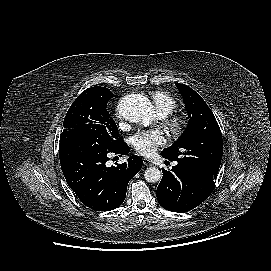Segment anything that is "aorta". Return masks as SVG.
Returning a JSON list of instances; mask_svg holds the SVG:
<instances>
[{"instance_id":"762f6f07","label":"aorta","mask_w":271,"mask_h":271,"mask_svg":"<svg viewBox=\"0 0 271 271\" xmlns=\"http://www.w3.org/2000/svg\"><path fill=\"white\" fill-rule=\"evenodd\" d=\"M122 114L126 120L146 126L153 118L152 105L146 96L132 94L124 99ZM144 177L147 182L155 183L162 178V172L156 167H149L145 170Z\"/></svg>"}]
</instances>
